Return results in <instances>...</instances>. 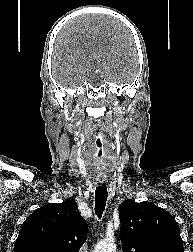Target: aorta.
Returning <instances> with one entry per match:
<instances>
[{"label":"aorta","instance_id":"aorta-1","mask_svg":"<svg viewBox=\"0 0 193 252\" xmlns=\"http://www.w3.org/2000/svg\"><path fill=\"white\" fill-rule=\"evenodd\" d=\"M93 252H116V244L114 239H105L100 241Z\"/></svg>","mask_w":193,"mask_h":252}]
</instances>
